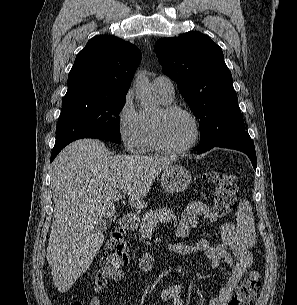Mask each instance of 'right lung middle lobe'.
<instances>
[{"mask_svg":"<svg viewBox=\"0 0 297 305\" xmlns=\"http://www.w3.org/2000/svg\"><path fill=\"white\" fill-rule=\"evenodd\" d=\"M125 100L124 95L82 97L62 102L54 148H64L81 138H99L119 143V114Z\"/></svg>","mask_w":297,"mask_h":305,"instance_id":"obj_1","label":"right lung middle lobe"}]
</instances>
